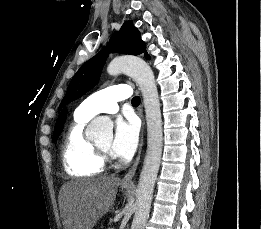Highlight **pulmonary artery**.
Here are the masks:
<instances>
[{
  "label": "pulmonary artery",
  "mask_w": 261,
  "mask_h": 229,
  "mask_svg": "<svg viewBox=\"0 0 261 229\" xmlns=\"http://www.w3.org/2000/svg\"><path fill=\"white\" fill-rule=\"evenodd\" d=\"M130 89V85H116L90 94L79 105L85 113L80 116L93 118L100 113H116L118 111L117 102L129 98Z\"/></svg>",
  "instance_id": "e3ab8cb5"
}]
</instances>
